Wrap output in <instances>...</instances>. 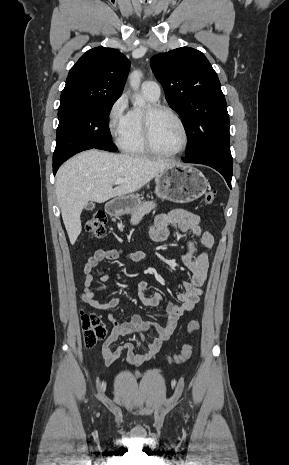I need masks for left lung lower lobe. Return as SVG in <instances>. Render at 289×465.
Instances as JSON below:
<instances>
[{"label":"left lung lower lobe","instance_id":"left-lung-lower-lobe-1","mask_svg":"<svg viewBox=\"0 0 289 465\" xmlns=\"http://www.w3.org/2000/svg\"><path fill=\"white\" fill-rule=\"evenodd\" d=\"M185 163H198L216 169L231 188L233 160L218 155H194L182 158Z\"/></svg>","mask_w":289,"mask_h":465}]
</instances>
